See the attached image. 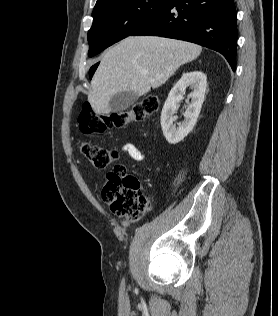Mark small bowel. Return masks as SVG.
<instances>
[{
    "label": "small bowel",
    "instance_id": "obj_1",
    "mask_svg": "<svg viewBox=\"0 0 278 316\" xmlns=\"http://www.w3.org/2000/svg\"><path fill=\"white\" fill-rule=\"evenodd\" d=\"M121 152L129 155L132 161L141 162L144 160V153L133 143H125L121 147Z\"/></svg>",
    "mask_w": 278,
    "mask_h": 316
}]
</instances>
